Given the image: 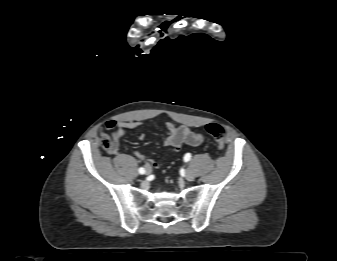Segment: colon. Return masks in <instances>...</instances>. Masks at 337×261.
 I'll return each instance as SVG.
<instances>
[{
	"label": "colon",
	"instance_id": "5ec220e1",
	"mask_svg": "<svg viewBox=\"0 0 337 261\" xmlns=\"http://www.w3.org/2000/svg\"><path fill=\"white\" fill-rule=\"evenodd\" d=\"M205 129L209 135H211L217 143V147L220 151L224 149L225 146V134L224 129L221 125L217 123H209L205 126ZM101 144L105 150H111L113 142L106 135L101 137Z\"/></svg>",
	"mask_w": 337,
	"mask_h": 261
}]
</instances>
